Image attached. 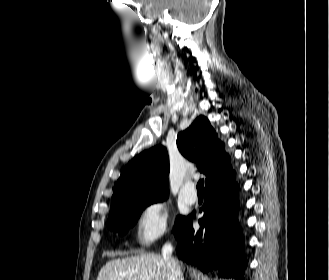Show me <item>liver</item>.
I'll return each mask as SVG.
<instances>
[{"label": "liver", "instance_id": "liver-1", "mask_svg": "<svg viewBox=\"0 0 329 280\" xmlns=\"http://www.w3.org/2000/svg\"><path fill=\"white\" fill-rule=\"evenodd\" d=\"M97 280H171V275L163 257L146 253L107 262Z\"/></svg>", "mask_w": 329, "mask_h": 280}]
</instances>
